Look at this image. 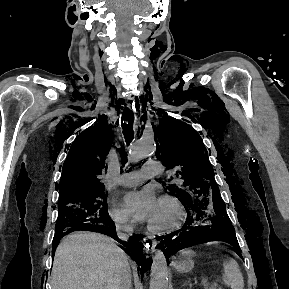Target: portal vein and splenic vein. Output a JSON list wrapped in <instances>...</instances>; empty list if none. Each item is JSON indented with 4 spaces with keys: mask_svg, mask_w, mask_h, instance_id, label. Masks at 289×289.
<instances>
[{
    "mask_svg": "<svg viewBox=\"0 0 289 289\" xmlns=\"http://www.w3.org/2000/svg\"><path fill=\"white\" fill-rule=\"evenodd\" d=\"M207 284H208V279H207V278H203V279L201 280V285H202V286H207Z\"/></svg>",
    "mask_w": 289,
    "mask_h": 289,
    "instance_id": "18ae733b",
    "label": "portal vein and splenic vein"
}]
</instances>
